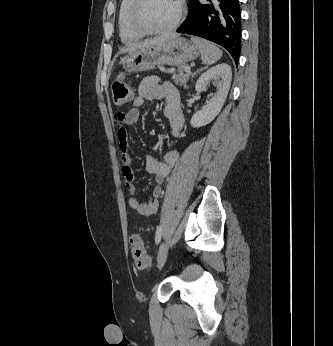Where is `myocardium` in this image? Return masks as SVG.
I'll return each mask as SVG.
<instances>
[{
    "label": "myocardium",
    "instance_id": "f54148a6",
    "mask_svg": "<svg viewBox=\"0 0 333 346\" xmlns=\"http://www.w3.org/2000/svg\"><path fill=\"white\" fill-rule=\"evenodd\" d=\"M146 3V0H135L133 4L130 21L132 27L143 35H161L174 30L182 21L185 12L184 0H177V13L171 24L164 28H151L148 26L142 18V10Z\"/></svg>",
    "mask_w": 333,
    "mask_h": 346
}]
</instances>
